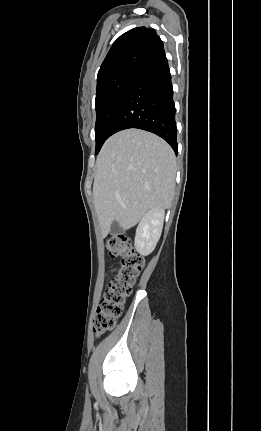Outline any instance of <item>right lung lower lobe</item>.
<instances>
[{"instance_id":"1","label":"right lung lower lobe","mask_w":261,"mask_h":431,"mask_svg":"<svg viewBox=\"0 0 261 431\" xmlns=\"http://www.w3.org/2000/svg\"><path fill=\"white\" fill-rule=\"evenodd\" d=\"M175 111L171 74L163 54L140 70L112 121L110 136L128 128L143 129L162 137L177 154Z\"/></svg>"}]
</instances>
